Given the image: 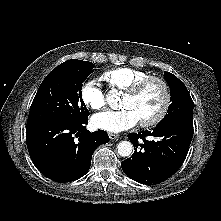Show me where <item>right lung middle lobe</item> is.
<instances>
[{"label":"right lung middle lobe","mask_w":221,"mask_h":221,"mask_svg":"<svg viewBox=\"0 0 221 221\" xmlns=\"http://www.w3.org/2000/svg\"><path fill=\"white\" fill-rule=\"evenodd\" d=\"M93 68L92 62L71 59L53 69L35 95L27 124L47 120L76 122L88 118L81 89Z\"/></svg>","instance_id":"right-lung-middle-lobe-1"}]
</instances>
